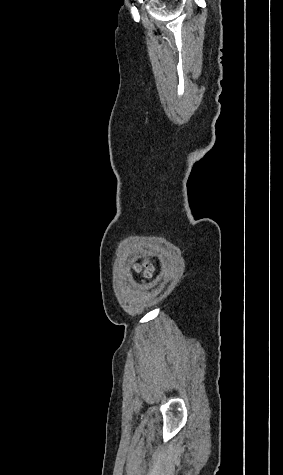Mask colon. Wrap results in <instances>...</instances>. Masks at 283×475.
Segmentation results:
<instances>
[{
  "instance_id": "5ec220e1",
  "label": "colon",
  "mask_w": 283,
  "mask_h": 475,
  "mask_svg": "<svg viewBox=\"0 0 283 475\" xmlns=\"http://www.w3.org/2000/svg\"><path fill=\"white\" fill-rule=\"evenodd\" d=\"M140 269H141L140 274L146 275V276L150 275V265L146 260L142 261Z\"/></svg>"
}]
</instances>
